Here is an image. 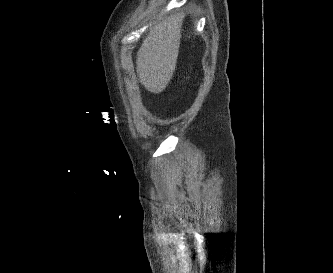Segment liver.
<instances>
[{"label":"liver","mask_w":333,"mask_h":273,"mask_svg":"<svg viewBox=\"0 0 333 273\" xmlns=\"http://www.w3.org/2000/svg\"><path fill=\"white\" fill-rule=\"evenodd\" d=\"M182 19L170 16L153 26L137 53L140 83L151 93H161L175 71Z\"/></svg>","instance_id":"obj_1"}]
</instances>
